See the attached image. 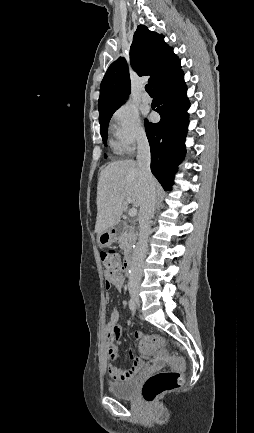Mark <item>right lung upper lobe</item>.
<instances>
[{"mask_svg":"<svg viewBox=\"0 0 254 433\" xmlns=\"http://www.w3.org/2000/svg\"><path fill=\"white\" fill-rule=\"evenodd\" d=\"M179 61L163 36L139 25L130 47V63L139 76L150 75L153 88L161 82ZM130 77L124 57H119L107 69L100 85L98 100L99 122L117 110L130 94Z\"/></svg>","mask_w":254,"mask_h":433,"instance_id":"obj_1","label":"right lung upper lobe"}]
</instances>
